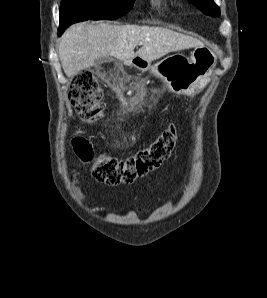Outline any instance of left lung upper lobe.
<instances>
[{
    "mask_svg": "<svg viewBox=\"0 0 267 298\" xmlns=\"http://www.w3.org/2000/svg\"><path fill=\"white\" fill-rule=\"evenodd\" d=\"M189 1L206 14H209L212 16L220 15V9L214 3L213 0H189Z\"/></svg>",
    "mask_w": 267,
    "mask_h": 298,
    "instance_id": "left-lung-upper-lobe-1",
    "label": "left lung upper lobe"
}]
</instances>
